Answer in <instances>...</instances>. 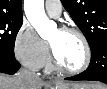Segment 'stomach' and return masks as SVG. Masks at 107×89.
Listing matches in <instances>:
<instances>
[{"instance_id": "obj_1", "label": "stomach", "mask_w": 107, "mask_h": 89, "mask_svg": "<svg viewBox=\"0 0 107 89\" xmlns=\"http://www.w3.org/2000/svg\"><path fill=\"white\" fill-rule=\"evenodd\" d=\"M49 89H82L80 85H55L53 87H49Z\"/></svg>"}]
</instances>
